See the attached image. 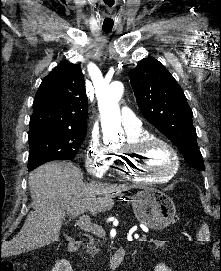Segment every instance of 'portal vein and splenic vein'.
<instances>
[{
  "mask_svg": "<svg viewBox=\"0 0 221 271\" xmlns=\"http://www.w3.org/2000/svg\"><path fill=\"white\" fill-rule=\"evenodd\" d=\"M71 217H77V215H71ZM76 225H79L81 229H84V231H90V234H98V238H103V233L105 232L103 230L102 226L99 225H92L90 223V219L86 217V215H81L79 219H76ZM148 235H142L141 237H137V242H142V240H148Z\"/></svg>",
  "mask_w": 221,
  "mask_h": 271,
  "instance_id": "portal-vein-and-splenic-vein-1",
  "label": "portal vein and splenic vein"
}]
</instances>
